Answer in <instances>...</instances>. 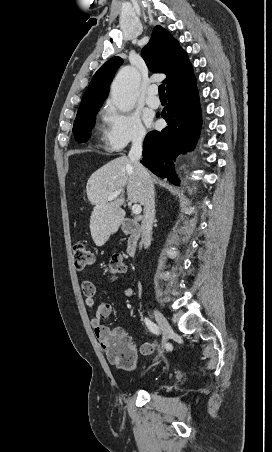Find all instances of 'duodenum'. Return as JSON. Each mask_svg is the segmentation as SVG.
Masks as SVG:
<instances>
[{
  "instance_id": "obj_1",
  "label": "duodenum",
  "mask_w": 272,
  "mask_h": 452,
  "mask_svg": "<svg viewBox=\"0 0 272 452\" xmlns=\"http://www.w3.org/2000/svg\"><path fill=\"white\" fill-rule=\"evenodd\" d=\"M122 231L129 235L127 253L134 257L138 252V244L141 237V225L138 220L125 218L121 225Z\"/></svg>"
}]
</instances>
